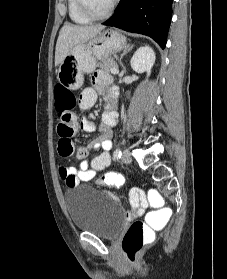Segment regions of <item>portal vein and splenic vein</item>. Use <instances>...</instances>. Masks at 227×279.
<instances>
[{
    "mask_svg": "<svg viewBox=\"0 0 227 279\" xmlns=\"http://www.w3.org/2000/svg\"><path fill=\"white\" fill-rule=\"evenodd\" d=\"M111 72H112V74H118L119 70H118V68H112Z\"/></svg>",
    "mask_w": 227,
    "mask_h": 279,
    "instance_id": "1",
    "label": "portal vein and splenic vein"
}]
</instances>
